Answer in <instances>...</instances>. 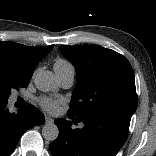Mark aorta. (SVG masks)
Returning <instances> with one entry per match:
<instances>
[{
	"label": "aorta",
	"mask_w": 156,
	"mask_h": 156,
	"mask_svg": "<svg viewBox=\"0 0 156 156\" xmlns=\"http://www.w3.org/2000/svg\"><path fill=\"white\" fill-rule=\"evenodd\" d=\"M34 83L38 90L48 92L56 87L55 78L50 71L38 72L34 77ZM59 135L58 127L52 123H46L42 128V136L48 141H54Z\"/></svg>",
	"instance_id": "762f6f07"
}]
</instances>
